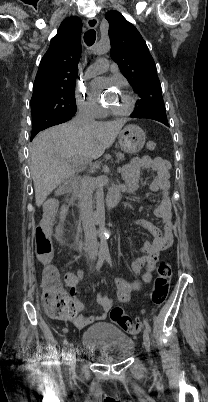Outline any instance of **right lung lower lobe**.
<instances>
[{
	"instance_id": "98d812e1",
	"label": "right lung lower lobe",
	"mask_w": 208,
	"mask_h": 402,
	"mask_svg": "<svg viewBox=\"0 0 208 402\" xmlns=\"http://www.w3.org/2000/svg\"><path fill=\"white\" fill-rule=\"evenodd\" d=\"M73 116H65V117H58V116H40L36 119H33V127H32V134L31 140L36 136V134L48 127L64 123L70 120Z\"/></svg>"
}]
</instances>
